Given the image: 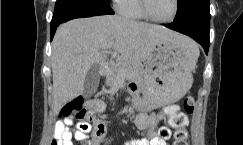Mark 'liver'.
<instances>
[{"label": "liver", "instance_id": "1", "mask_svg": "<svg viewBox=\"0 0 243 145\" xmlns=\"http://www.w3.org/2000/svg\"><path fill=\"white\" fill-rule=\"evenodd\" d=\"M113 41L123 60L140 64L162 42L181 46L187 37L159 25L117 15L80 18L59 26L52 42L53 110L81 95L88 71L106 58L104 45Z\"/></svg>", "mask_w": 243, "mask_h": 145}]
</instances>
